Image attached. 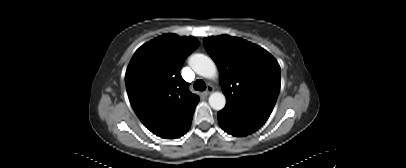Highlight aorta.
<instances>
[{
    "mask_svg": "<svg viewBox=\"0 0 406 168\" xmlns=\"http://www.w3.org/2000/svg\"><path fill=\"white\" fill-rule=\"evenodd\" d=\"M189 65L200 76L214 78L217 75V68L211 58L204 54H193L189 58ZM209 104L214 110H221L225 107L226 98L221 92H214L209 97Z\"/></svg>",
    "mask_w": 406,
    "mask_h": 168,
    "instance_id": "1",
    "label": "aorta"
}]
</instances>
